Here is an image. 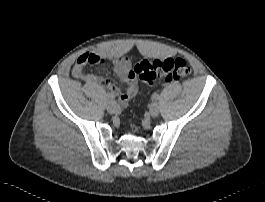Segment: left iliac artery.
<instances>
[{
	"label": "left iliac artery",
	"instance_id": "obj_1",
	"mask_svg": "<svg viewBox=\"0 0 265 202\" xmlns=\"http://www.w3.org/2000/svg\"><path fill=\"white\" fill-rule=\"evenodd\" d=\"M152 98L155 99V100H158L159 99V95L157 93H154L152 95Z\"/></svg>",
	"mask_w": 265,
	"mask_h": 202
}]
</instances>
